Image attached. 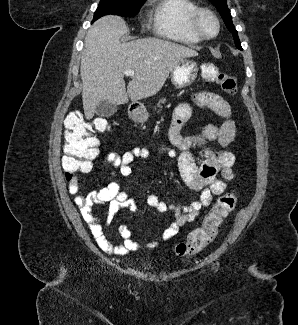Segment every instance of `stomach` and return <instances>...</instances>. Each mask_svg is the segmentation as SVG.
I'll return each instance as SVG.
<instances>
[{"instance_id": "obj_1", "label": "stomach", "mask_w": 298, "mask_h": 325, "mask_svg": "<svg viewBox=\"0 0 298 325\" xmlns=\"http://www.w3.org/2000/svg\"><path fill=\"white\" fill-rule=\"evenodd\" d=\"M198 64L191 60V58H181L178 64H175L171 70L170 80L176 88H185L190 86L198 76ZM134 122H146L149 118V112H147L145 106H138L130 114Z\"/></svg>"}]
</instances>
